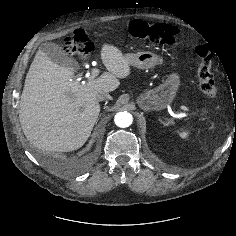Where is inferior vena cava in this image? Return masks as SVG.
I'll list each match as a JSON object with an SVG mask.
<instances>
[{
    "instance_id": "1",
    "label": "inferior vena cava",
    "mask_w": 236,
    "mask_h": 236,
    "mask_svg": "<svg viewBox=\"0 0 236 236\" xmlns=\"http://www.w3.org/2000/svg\"><path fill=\"white\" fill-rule=\"evenodd\" d=\"M96 99L98 102L105 101L111 99V96L108 92H100L97 94Z\"/></svg>"
}]
</instances>
